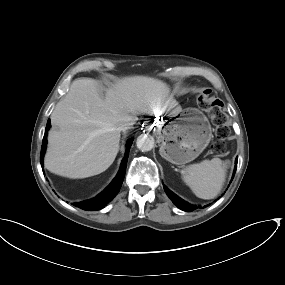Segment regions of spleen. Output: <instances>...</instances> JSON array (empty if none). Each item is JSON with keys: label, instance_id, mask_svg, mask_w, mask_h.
<instances>
[{"label": "spleen", "instance_id": "spleen-1", "mask_svg": "<svg viewBox=\"0 0 285 285\" xmlns=\"http://www.w3.org/2000/svg\"><path fill=\"white\" fill-rule=\"evenodd\" d=\"M227 162L219 158L204 160L187 166L182 171L183 181L201 199L216 197L225 182Z\"/></svg>", "mask_w": 285, "mask_h": 285}]
</instances>
